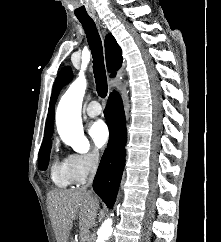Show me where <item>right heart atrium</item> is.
<instances>
[{"mask_svg": "<svg viewBox=\"0 0 221 242\" xmlns=\"http://www.w3.org/2000/svg\"><path fill=\"white\" fill-rule=\"evenodd\" d=\"M70 175L74 182H81L96 172L100 162L97 150L91 149L83 153H72L65 158Z\"/></svg>", "mask_w": 221, "mask_h": 242, "instance_id": "1", "label": "right heart atrium"}]
</instances>
